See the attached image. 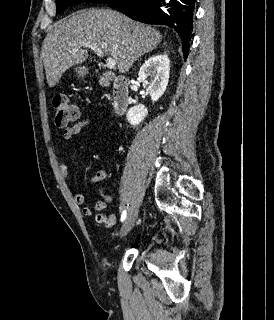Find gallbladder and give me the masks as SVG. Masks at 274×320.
I'll use <instances>...</instances> for the list:
<instances>
[{
  "label": "gallbladder",
  "instance_id": "1",
  "mask_svg": "<svg viewBox=\"0 0 274 320\" xmlns=\"http://www.w3.org/2000/svg\"><path fill=\"white\" fill-rule=\"evenodd\" d=\"M103 77H104L105 79H108V78L110 77V74H109L108 72H105V73L103 74Z\"/></svg>",
  "mask_w": 274,
  "mask_h": 320
}]
</instances>
